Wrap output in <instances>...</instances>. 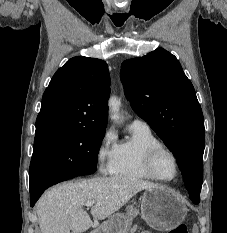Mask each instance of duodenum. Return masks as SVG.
Wrapping results in <instances>:
<instances>
[{"label": "duodenum", "instance_id": "1", "mask_svg": "<svg viewBox=\"0 0 227 233\" xmlns=\"http://www.w3.org/2000/svg\"><path fill=\"white\" fill-rule=\"evenodd\" d=\"M91 233H99L98 231H92Z\"/></svg>", "mask_w": 227, "mask_h": 233}]
</instances>
